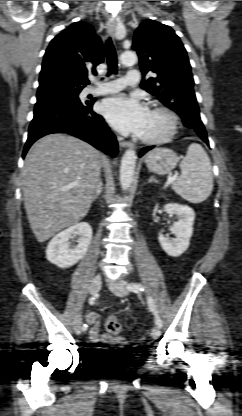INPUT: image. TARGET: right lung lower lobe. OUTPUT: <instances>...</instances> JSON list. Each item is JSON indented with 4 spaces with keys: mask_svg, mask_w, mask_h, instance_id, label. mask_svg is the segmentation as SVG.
Returning <instances> with one entry per match:
<instances>
[{
    "mask_svg": "<svg viewBox=\"0 0 242 416\" xmlns=\"http://www.w3.org/2000/svg\"><path fill=\"white\" fill-rule=\"evenodd\" d=\"M93 102L50 96L37 99L23 157L39 138L51 133H69L115 157L117 141L102 116L92 110Z\"/></svg>",
    "mask_w": 242,
    "mask_h": 416,
    "instance_id": "1",
    "label": "right lung lower lobe"
}]
</instances>
